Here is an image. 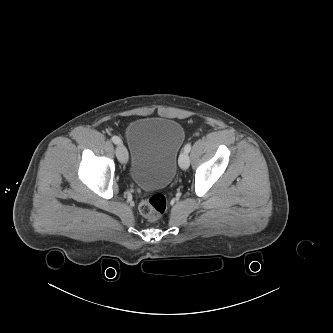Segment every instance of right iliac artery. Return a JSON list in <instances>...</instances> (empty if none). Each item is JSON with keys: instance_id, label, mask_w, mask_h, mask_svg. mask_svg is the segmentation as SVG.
I'll list each match as a JSON object with an SVG mask.
<instances>
[{"instance_id": "1", "label": "right iliac artery", "mask_w": 333, "mask_h": 333, "mask_svg": "<svg viewBox=\"0 0 333 333\" xmlns=\"http://www.w3.org/2000/svg\"><path fill=\"white\" fill-rule=\"evenodd\" d=\"M111 140H112L113 143H115V144H121V143H122L121 139H120L119 137H117V136H113V137L111 138Z\"/></svg>"}]
</instances>
